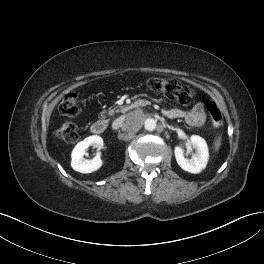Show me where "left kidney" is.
<instances>
[{
	"label": "left kidney",
	"mask_w": 264,
	"mask_h": 264,
	"mask_svg": "<svg viewBox=\"0 0 264 264\" xmlns=\"http://www.w3.org/2000/svg\"><path fill=\"white\" fill-rule=\"evenodd\" d=\"M190 143L196 150L191 159L184 157V151L181 147L176 146L174 149L175 158L178 165L185 171L190 173H200L203 170L209 159V151L206 141L198 136L192 135L190 137Z\"/></svg>",
	"instance_id": "5707ae66"
}]
</instances>
